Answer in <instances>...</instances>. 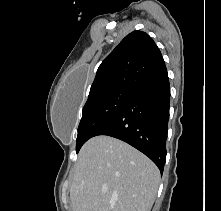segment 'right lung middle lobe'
I'll use <instances>...</instances> for the list:
<instances>
[{
	"label": "right lung middle lobe",
	"mask_w": 221,
	"mask_h": 211,
	"mask_svg": "<svg viewBox=\"0 0 221 211\" xmlns=\"http://www.w3.org/2000/svg\"><path fill=\"white\" fill-rule=\"evenodd\" d=\"M132 90V88H117L87 100L78 127L76 152L116 115L129 98Z\"/></svg>",
	"instance_id": "right-lung-middle-lobe-1"
}]
</instances>
